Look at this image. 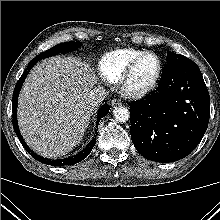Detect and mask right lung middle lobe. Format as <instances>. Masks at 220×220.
Here are the masks:
<instances>
[{
    "mask_svg": "<svg viewBox=\"0 0 220 220\" xmlns=\"http://www.w3.org/2000/svg\"><path fill=\"white\" fill-rule=\"evenodd\" d=\"M80 46H81L80 42H65V43H61V44H58V45L50 48L49 50H47L45 52L39 54L38 56H36L34 58V60L38 61V60L44 59L46 57L57 55L59 53L70 52V51L76 50Z\"/></svg>",
    "mask_w": 220,
    "mask_h": 220,
    "instance_id": "obj_1",
    "label": "right lung middle lobe"
}]
</instances>
